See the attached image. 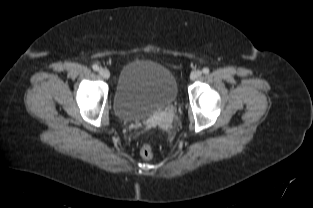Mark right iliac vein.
Listing matches in <instances>:
<instances>
[{"label": "right iliac vein", "instance_id": "obj_1", "mask_svg": "<svg viewBox=\"0 0 313 208\" xmlns=\"http://www.w3.org/2000/svg\"><path fill=\"white\" fill-rule=\"evenodd\" d=\"M99 74L101 75V77H103L104 79H108L110 77V72L108 69L106 68H101L99 70Z\"/></svg>", "mask_w": 313, "mask_h": 208}]
</instances>
